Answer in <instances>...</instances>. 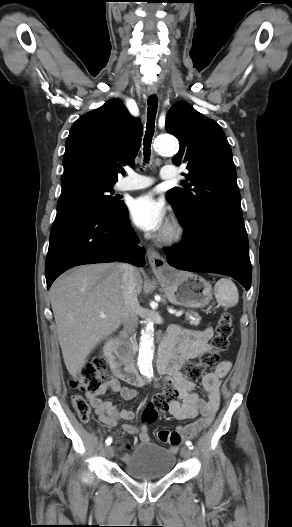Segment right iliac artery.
I'll return each instance as SVG.
<instances>
[{
	"instance_id": "1",
	"label": "right iliac artery",
	"mask_w": 292,
	"mask_h": 527,
	"mask_svg": "<svg viewBox=\"0 0 292 527\" xmlns=\"http://www.w3.org/2000/svg\"><path fill=\"white\" fill-rule=\"evenodd\" d=\"M106 445H110L112 443V438L111 437H108L105 441Z\"/></svg>"
}]
</instances>
